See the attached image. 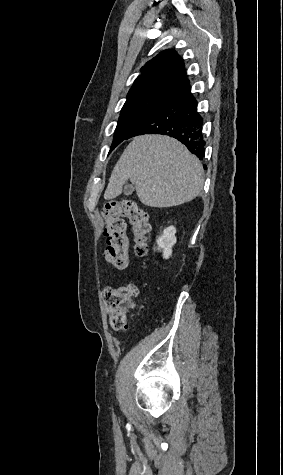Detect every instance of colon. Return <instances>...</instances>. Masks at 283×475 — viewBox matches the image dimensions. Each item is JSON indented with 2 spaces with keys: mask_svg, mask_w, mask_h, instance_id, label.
Masks as SVG:
<instances>
[{
  "mask_svg": "<svg viewBox=\"0 0 283 475\" xmlns=\"http://www.w3.org/2000/svg\"><path fill=\"white\" fill-rule=\"evenodd\" d=\"M102 216L106 223L104 233L107 238L104 259L116 270H125L129 264L124 218L130 223L135 253L138 256L148 254L151 236L148 215L144 209L130 199H123L106 203ZM138 293L139 287L136 283L107 288L105 302L108 307V322L114 330L128 331V315L134 309Z\"/></svg>",
  "mask_w": 283,
  "mask_h": 475,
  "instance_id": "colon-1",
  "label": "colon"
}]
</instances>
